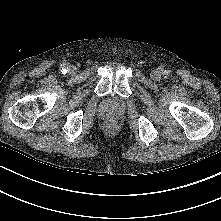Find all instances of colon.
Listing matches in <instances>:
<instances>
[{
    "mask_svg": "<svg viewBox=\"0 0 221 221\" xmlns=\"http://www.w3.org/2000/svg\"><path fill=\"white\" fill-rule=\"evenodd\" d=\"M109 126H112V123H109Z\"/></svg>",
    "mask_w": 221,
    "mask_h": 221,
    "instance_id": "5ec220e1",
    "label": "colon"
}]
</instances>
